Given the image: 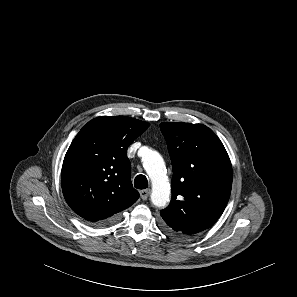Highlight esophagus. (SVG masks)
<instances>
[{
    "label": "esophagus",
    "instance_id": "34e87169",
    "mask_svg": "<svg viewBox=\"0 0 297 297\" xmlns=\"http://www.w3.org/2000/svg\"><path fill=\"white\" fill-rule=\"evenodd\" d=\"M150 193H151L150 189L141 190L140 196H141L142 200H147L148 197L150 196Z\"/></svg>",
    "mask_w": 297,
    "mask_h": 297
}]
</instances>
